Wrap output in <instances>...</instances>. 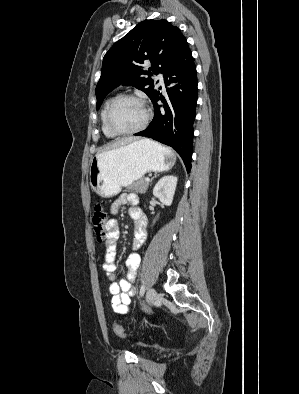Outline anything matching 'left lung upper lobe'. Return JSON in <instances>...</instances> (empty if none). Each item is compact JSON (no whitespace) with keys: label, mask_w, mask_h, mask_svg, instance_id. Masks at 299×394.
<instances>
[{"label":"left lung upper lobe","mask_w":299,"mask_h":394,"mask_svg":"<svg viewBox=\"0 0 299 394\" xmlns=\"http://www.w3.org/2000/svg\"><path fill=\"white\" fill-rule=\"evenodd\" d=\"M186 45L180 29L166 20L151 19L137 24L103 58L101 77L96 86V109L119 85L134 86L152 100L157 90L150 76L163 73ZM145 60H150L152 67L144 72L141 64ZM144 74L149 77H143Z\"/></svg>","instance_id":"5c2ea615"}]
</instances>
